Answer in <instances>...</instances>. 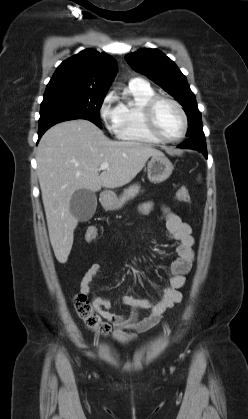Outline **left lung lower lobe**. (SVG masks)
<instances>
[{
    "instance_id": "left-lung-lower-lobe-1",
    "label": "left lung lower lobe",
    "mask_w": 248,
    "mask_h": 419,
    "mask_svg": "<svg viewBox=\"0 0 248 419\" xmlns=\"http://www.w3.org/2000/svg\"><path fill=\"white\" fill-rule=\"evenodd\" d=\"M179 148L196 149L204 154L207 158L206 141L203 136H194L186 142L182 143Z\"/></svg>"
}]
</instances>
